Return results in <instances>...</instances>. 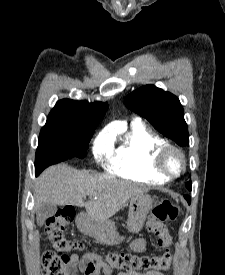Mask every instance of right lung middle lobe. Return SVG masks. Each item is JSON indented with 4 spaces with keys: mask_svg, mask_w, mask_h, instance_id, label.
I'll return each instance as SVG.
<instances>
[{
    "mask_svg": "<svg viewBox=\"0 0 225 275\" xmlns=\"http://www.w3.org/2000/svg\"><path fill=\"white\" fill-rule=\"evenodd\" d=\"M96 127L71 122H46L39 135L36 175L49 165L73 157L84 158Z\"/></svg>",
    "mask_w": 225,
    "mask_h": 275,
    "instance_id": "1",
    "label": "right lung middle lobe"
}]
</instances>
